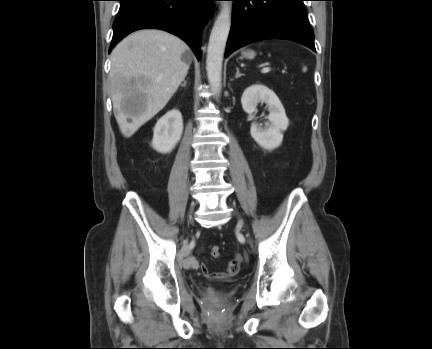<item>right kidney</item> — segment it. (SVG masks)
I'll return each instance as SVG.
<instances>
[{"label":"right kidney","instance_id":"ca27d5eb","mask_svg":"<svg viewBox=\"0 0 432 349\" xmlns=\"http://www.w3.org/2000/svg\"><path fill=\"white\" fill-rule=\"evenodd\" d=\"M183 133V120L179 110L172 109L163 115L154 127L152 147L160 153L171 152Z\"/></svg>","mask_w":432,"mask_h":349}]
</instances>
